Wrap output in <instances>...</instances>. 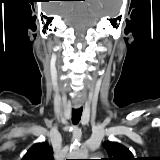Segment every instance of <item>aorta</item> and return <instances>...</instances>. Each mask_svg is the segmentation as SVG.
I'll return each mask as SVG.
<instances>
[{
    "label": "aorta",
    "instance_id": "1",
    "mask_svg": "<svg viewBox=\"0 0 160 160\" xmlns=\"http://www.w3.org/2000/svg\"><path fill=\"white\" fill-rule=\"evenodd\" d=\"M69 159H88V151L84 147L74 146L70 150Z\"/></svg>",
    "mask_w": 160,
    "mask_h": 160
}]
</instances>
